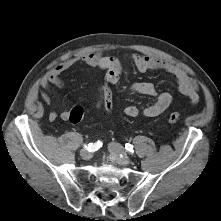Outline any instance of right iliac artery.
I'll return each instance as SVG.
<instances>
[{"label":"right iliac artery","instance_id":"1","mask_svg":"<svg viewBox=\"0 0 221 221\" xmlns=\"http://www.w3.org/2000/svg\"><path fill=\"white\" fill-rule=\"evenodd\" d=\"M100 147H102V142L100 141H97L95 143H89L87 146L85 145V148H87L90 152L96 151Z\"/></svg>","mask_w":221,"mask_h":221}]
</instances>
